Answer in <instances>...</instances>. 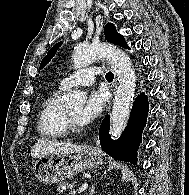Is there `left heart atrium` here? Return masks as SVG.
<instances>
[{"mask_svg": "<svg viewBox=\"0 0 189 195\" xmlns=\"http://www.w3.org/2000/svg\"><path fill=\"white\" fill-rule=\"evenodd\" d=\"M106 100L107 95L103 89L91 92L78 115V122L81 125L93 122L102 112Z\"/></svg>", "mask_w": 189, "mask_h": 195, "instance_id": "obj_1", "label": "left heart atrium"}]
</instances>
